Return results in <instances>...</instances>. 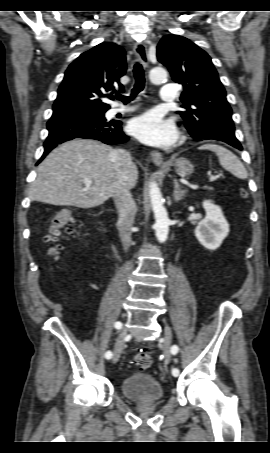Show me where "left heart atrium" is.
I'll return each instance as SVG.
<instances>
[{"instance_id": "left-heart-atrium-1", "label": "left heart atrium", "mask_w": 270, "mask_h": 453, "mask_svg": "<svg viewBox=\"0 0 270 453\" xmlns=\"http://www.w3.org/2000/svg\"><path fill=\"white\" fill-rule=\"evenodd\" d=\"M129 131L140 141L155 146H169L177 137L172 121L155 112L133 119L129 123Z\"/></svg>"}]
</instances>
